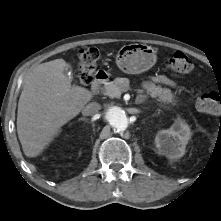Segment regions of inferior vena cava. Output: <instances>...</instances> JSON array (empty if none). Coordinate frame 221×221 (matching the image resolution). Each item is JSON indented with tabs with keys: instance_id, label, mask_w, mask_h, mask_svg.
I'll use <instances>...</instances> for the list:
<instances>
[{
	"instance_id": "602c4592",
	"label": "inferior vena cava",
	"mask_w": 221,
	"mask_h": 221,
	"mask_svg": "<svg viewBox=\"0 0 221 221\" xmlns=\"http://www.w3.org/2000/svg\"><path fill=\"white\" fill-rule=\"evenodd\" d=\"M100 108L101 106L99 103L91 102L82 109V114L84 116H92L96 114L100 110Z\"/></svg>"
}]
</instances>
